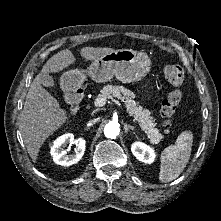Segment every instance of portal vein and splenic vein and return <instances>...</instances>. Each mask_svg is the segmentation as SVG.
Here are the masks:
<instances>
[{
  "mask_svg": "<svg viewBox=\"0 0 221 221\" xmlns=\"http://www.w3.org/2000/svg\"><path fill=\"white\" fill-rule=\"evenodd\" d=\"M106 98H97V99H95V101H94V105L96 106V107H102V106H104L105 104H106ZM112 101L116 104V105H118L119 107H122V105H121V103L118 101V100H116V99H112Z\"/></svg>",
  "mask_w": 221,
  "mask_h": 221,
  "instance_id": "18ae733b",
  "label": "portal vein and splenic vein"
}]
</instances>
